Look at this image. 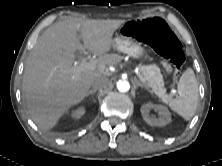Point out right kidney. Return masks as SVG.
Segmentation results:
<instances>
[{"mask_svg": "<svg viewBox=\"0 0 222 166\" xmlns=\"http://www.w3.org/2000/svg\"><path fill=\"white\" fill-rule=\"evenodd\" d=\"M85 114V108L79 107L71 112V117L74 119H79Z\"/></svg>", "mask_w": 222, "mask_h": 166, "instance_id": "1", "label": "right kidney"}]
</instances>
